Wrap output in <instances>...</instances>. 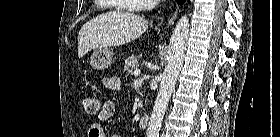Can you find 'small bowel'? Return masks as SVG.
<instances>
[{"mask_svg":"<svg viewBox=\"0 0 280 137\" xmlns=\"http://www.w3.org/2000/svg\"><path fill=\"white\" fill-rule=\"evenodd\" d=\"M103 85L106 89L115 92L121 87L120 79L116 76L103 79ZM115 112V103L107 100L103 103L101 111L94 121L87 123V132L89 137H107L102 122L109 119Z\"/></svg>","mask_w":280,"mask_h":137,"instance_id":"obj_1","label":"small bowel"}]
</instances>
